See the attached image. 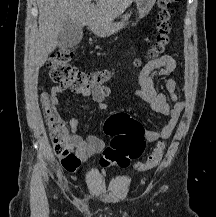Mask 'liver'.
<instances>
[{"mask_svg":"<svg viewBox=\"0 0 216 217\" xmlns=\"http://www.w3.org/2000/svg\"><path fill=\"white\" fill-rule=\"evenodd\" d=\"M134 0H38L39 32L36 42V66L42 67L56 46L67 21L78 26L99 27L112 24Z\"/></svg>","mask_w":216,"mask_h":217,"instance_id":"1","label":"liver"}]
</instances>
